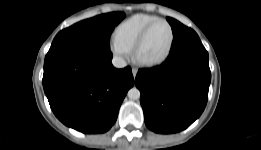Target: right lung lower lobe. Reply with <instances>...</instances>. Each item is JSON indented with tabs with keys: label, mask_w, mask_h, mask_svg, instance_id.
Here are the masks:
<instances>
[{
	"label": "right lung lower lobe",
	"mask_w": 261,
	"mask_h": 150,
	"mask_svg": "<svg viewBox=\"0 0 261 150\" xmlns=\"http://www.w3.org/2000/svg\"><path fill=\"white\" fill-rule=\"evenodd\" d=\"M112 57L110 49L78 45L49 50L43 87L52 111L66 126L96 134L115 123L134 78L130 67L114 68Z\"/></svg>",
	"instance_id": "98d812e1"
}]
</instances>
